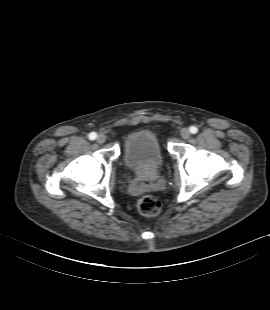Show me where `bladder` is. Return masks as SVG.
Masks as SVG:
<instances>
[{"mask_svg": "<svg viewBox=\"0 0 270 310\" xmlns=\"http://www.w3.org/2000/svg\"><path fill=\"white\" fill-rule=\"evenodd\" d=\"M123 160L132 171L158 172L163 165L164 154L157 134L150 129L133 132L124 142Z\"/></svg>", "mask_w": 270, "mask_h": 310, "instance_id": "obj_1", "label": "bladder"}]
</instances>
